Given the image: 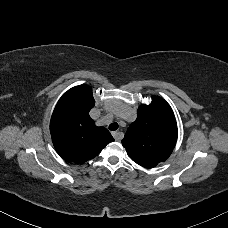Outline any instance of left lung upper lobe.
I'll use <instances>...</instances> for the list:
<instances>
[{
    "instance_id": "5c2ea615",
    "label": "left lung upper lobe",
    "mask_w": 228,
    "mask_h": 228,
    "mask_svg": "<svg viewBox=\"0 0 228 228\" xmlns=\"http://www.w3.org/2000/svg\"><path fill=\"white\" fill-rule=\"evenodd\" d=\"M137 119L129 126L122 140L130 158L152 168L165 161L177 141V124L169 104L158 96L149 105H142Z\"/></svg>"
}]
</instances>
